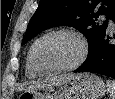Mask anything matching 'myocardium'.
Instances as JSON below:
<instances>
[{
  "mask_svg": "<svg viewBox=\"0 0 115 99\" xmlns=\"http://www.w3.org/2000/svg\"><path fill=\"white\" fill-rule=\"evenodd\" d=\"M59 34H68V35L75 37L80 44V48H81L80 54L78 58L70 65H67V66H64L58 69H54V70H44L43 68L40 67V65L37 62L36 48L39 45V43L45 40L46 38L50 36H54V35H59ZM88 54H89V43L81 32L71 29V28H58V29H54V30L46 32L45 34H43L42 36H40L38 39L35 40V42L33 43L30 49V60H31V64L34 70L39 75L54 76L57 74H61L64 72H69V71L77 69L85 62V60L88 57Z\"/></svg>",
  "mask_w": 115,
  "mask_h": 99,
  "instance_id": "f54148a6",
  "label": "myocardium"
}]
</instances>
